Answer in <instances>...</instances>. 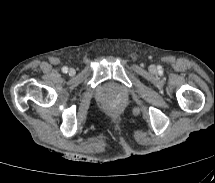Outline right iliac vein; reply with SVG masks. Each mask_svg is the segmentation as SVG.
Segmentation results:
<instances>
[{"label":"right iliac vein","mask_w":215,"mask_h":183,"mask_svg":"<svg viewBox=\"0 0 215 183\" xmlns=\"http://www.w3.org/2000/svg\"><path fill=\"white\" fill-rule=\"evenodd\" d=\"M75 74V70L73 68L69 69V75L73 76Z\"/></svg>","instance_id":"1"}]
</instances>
